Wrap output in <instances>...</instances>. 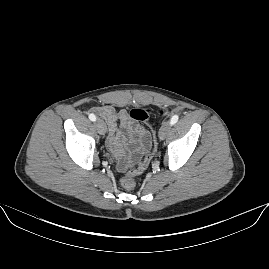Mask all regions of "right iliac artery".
Listing matches in <instances>:
<instances>
[{"mask_svg":"<svg viewBox=\"0 0 269 269\" xmlns=\"http://www.w3.org/2000/svg\"><path fill=\"white\" fill-rule=\"evenodd\" d=\"M89 119H90L91 121H96V117H95L94 114H90V115H89Z\"/></svg>","mask_w":269,"mask_h":269,"instance_id":"1","label":"right iliac artery"}]
</instances>
